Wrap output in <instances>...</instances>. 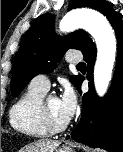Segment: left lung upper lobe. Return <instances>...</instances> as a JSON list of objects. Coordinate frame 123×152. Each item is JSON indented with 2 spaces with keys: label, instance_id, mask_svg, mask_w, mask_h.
<instances>
[{
  "label": "left lung upper lobe",
  "instance_id": "obj_1",
  "mask_svg": "<svg viewBox=\"0 0 123 152\" xmlns=\"http://www.w3.org/2000/svg\"><path fill=\"white\" fill-rule=\"evenodd\" d=\"M90 7L106 17L114 12L112 5L104 0H71L68 10ZM92 43L88 34L77 30L66 37H58L54 32V16L43 14L35 19L21 44L12 68L11 93L17 96L28 82L38 74L52 72L56 63L68 49L84 51ZM80 76H72L76 86Z\"/></svg>",
  "mask_w": 123,
  "mask_h": 152
}]
</instances>
